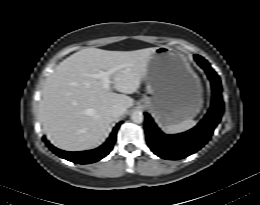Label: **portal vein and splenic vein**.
Returning a JSON list of instances; mask_svg holds the SVG:
<instances>
[{
    "label": "portal vein and splenic vein",
    "instance_id": "obj_1",
    "mask_svg": "<svg viewBox=\"0 0 260 205\" xmlns=\"http://www.w3.org/2000/svg\"><path fill=\"white\" fill-rule=\"evenodd\" d=\"M117 70V68H113L111 70L108 71H99V73L96 75V77L100 78L102 80L103 86L104 88L108 89L110 88L111 85V79L110 76L111 74H113L115 71Z\"/></svg>",
    "mask_w": 260,
    "mask_h": 205
}]
</instances>
